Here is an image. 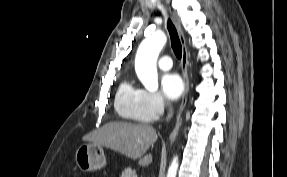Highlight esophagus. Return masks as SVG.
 <instances>
[{"label":"esophagus","instance_id":"1","mask_svg":"<svg viewBox=\"0 0 287 177\" xmlns=\"http://www.w3.org/2000/svg\"><path fill=\"white\" fill-rule=\"evenodd\" d=\"M171 20L178 32V36L182 45V59H181V66H182V73H183V80H184V96H183V100L181 102V105L179 107V110L177 112V120H176V125L173 129V131L171 132L170 136H169V140L173 141L177 134H178V130L179 127L181 125V114L186 106L187 103V97H188V93H189V78H188V51H187V45H186V39L181 27L180 22L178 21V19L174 16L171 15Z\"/></svg>","mask_w":287,"mask_h":177}]
</instances>
